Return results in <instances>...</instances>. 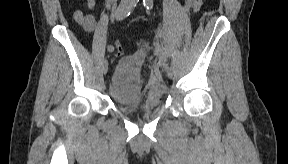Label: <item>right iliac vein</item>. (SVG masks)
<instances>
[{
    "label": "right iliac vein",
    "instance_id": "right-iliac-vein-1",
    "mask_svg": "<svg viewBox=\"0 0 288 164\" xmlns=\"http://www.w3.org/2000/svg\"><path fill=\"white\" fill-rule=\"evenodd\" d=\"M107 70H108V60H104V64H103V72L104 74L107 73Z\"/></svg>",
    "mask_w": 288,
    "mask_h": 164
}]
</instances>
